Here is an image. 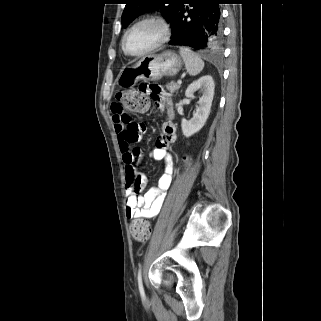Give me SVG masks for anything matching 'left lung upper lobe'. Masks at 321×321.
<instances>
[{
	"label": "left lung upper lobe",
	"mask_w": 321,
	"mask_h": 321,
	"mask_svg": "<svg viewBox=\"0 0 321 321\" xmlns=\"http://www.w3.org/2000/svg\"><path fill=\"white\" fill-rule=\"evenodd\" d=\"M183 0H126L122 14V26L126 28L136 17L151 11H160L168 23Z\"/></svg>",
	"instance_id": "left-lung-upper-lobe-1"
}]
</instances>
